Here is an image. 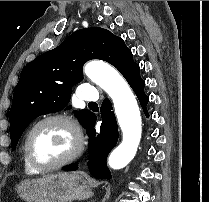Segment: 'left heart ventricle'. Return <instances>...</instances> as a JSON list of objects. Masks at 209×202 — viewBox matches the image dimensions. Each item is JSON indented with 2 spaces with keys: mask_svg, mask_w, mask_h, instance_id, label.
<instances>
[{
  "mask_svg": "<svg viewBox=\"0 0 209 202\" xmlns=\"http://www.w3.org/2000/svg\"><path fill=\"white\" fill-rule=\"evenodd\" d=\"M74 146L72 132L59 122H48L36 129L30 140V151L35 161L51 164L69 154Z\"/></svg>",
  "mask_w": 209,
  "mask_h": 202,
  "instance_id": "1",
  "label": "left heart ventricle"
}]
</instances>
